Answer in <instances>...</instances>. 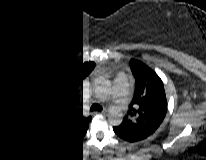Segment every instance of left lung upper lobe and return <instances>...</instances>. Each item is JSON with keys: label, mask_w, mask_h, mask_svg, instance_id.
<instances>
[{"label": "left lung upper lobe", "mask_w": 206, "mask_h": 160, "mask_svg": "<svg viewBox=\"0 0 206 160\" xmlns=\"http://www.w3.org/2000/svg\"><path fill=\"white\" fill-rule=\"evenodd\" d=\"M130 67L136 80L135 93L128 115L119 128L147 137L166 115L165 91L161 79L150 68L134 61Z\"/></svg>", "instance_id": "5c2ea615"}]
</instances>
